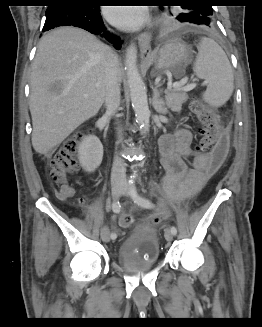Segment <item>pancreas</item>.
Listing matches in <instances>:
<instances>
[{"mask_svg": "<svg viewBox=\"0 0 262 327\" xmlns=\"http://www.w3.org/2000/svg\"><path fill=\"white\" fill-rule=\"evenodd\" d=\"M166 102L167 106L174 112H180L182 104L188 99L185 92L171 89L166 91Z\"/></svg>", "mask_w": 262, "mask_h": 327, "instance_id": "1", "label": "pancreas"}]
</instances>
